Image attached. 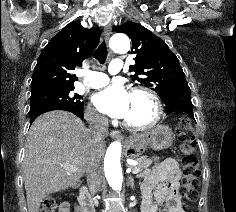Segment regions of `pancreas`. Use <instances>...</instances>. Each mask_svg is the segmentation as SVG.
<instances>
[{
    "label": "pancreas",
    "mask_w": 236,
    "mask_h": 212,
    "mask_svg": "<svg viewBox=\"0 0 236 212\" xmlns=\"http://www.w3.org/2000/svg\"><path fill=\"white\" fill-rule=\"evenodd\" d=\"M136 160L138 162V165L131 166V168H138L140 171L148 169V167H150L152 163L151 159H148L147 156H140Z\"/></svg>",
    "instance_id": "obj_1"
}]
</instances>
